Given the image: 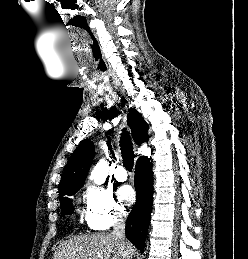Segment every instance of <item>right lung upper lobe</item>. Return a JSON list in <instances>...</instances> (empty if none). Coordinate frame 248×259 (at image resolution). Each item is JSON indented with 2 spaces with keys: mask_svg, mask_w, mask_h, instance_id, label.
<instances>
[{
  "mask_svg": "<svg viewBox=\"0 0 248 259\" xmlns=\"http://www.w3.org/2000/svg\"><path fill=\"white\" fill-rule=\"evenodd\" d=\"M128 125L131 128L133 140L141 144L148 139V125L142 115L134 108L129 109ZM94 156V144L90 140H83L72 153L61 179L60 197L67 191L81 188Z\"/></svg>",
  "mask_w": 248,
  "mask_h": 259,
  "instance_id": "right-lung-upper-lobe-1",
  "label": "right lung upper lobe"
}]
</instances>
